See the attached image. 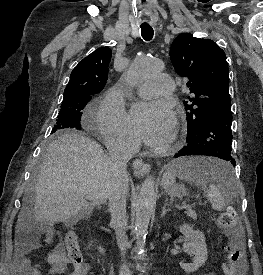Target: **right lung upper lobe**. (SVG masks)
Returning a JSON list of instances; mask_svg holds the SVG:
<instances>
[{
	"label": "right lung upper lobe",
	"instance_id": "right-lung-upper-lobe-1",
	"mask_svg": "<svg viewBox=\"0 0 263 275\" xmlns=\"http://www.w3.org/2000/svg\"><path fill=\"white\" fill-rule=\"evenodd\" d=\"M111 54L110 48L101 47L81 60L70 75L64 98L100 92L106 84Z\"/></svg>",
	"mask_w": 263,
	"mask_h": 275
}]
</instances>
